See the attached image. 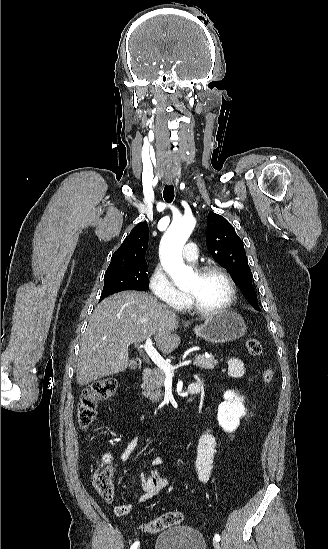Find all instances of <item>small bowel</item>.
I'll return each mask as SVG.
<instances>
[{"label": "small bowel", "instance_id": "obj_1", "mask_svg": "<svg viewBox=\"0 0 328 549\" xmlns=\"http://www.w3.org/2000/svg\"><path fill=\"white\" fill-rule=\"evenodd\" d=\"M227 368L230 376L240 378L245 373L243 362L238 358H229L227 360ZM138 442V437L134 436L128 443L127 447L120 453L119 458L126 461L134 452ZM216 446V439L212 429L204 431L197 440L194 446V451L197 454L196 458V473L200 482H207L210 478L213 468V457ZM114 461V456L110 453L103 454L101 462L111 466ZM164 463V458L161 456L154 457L150 461L151 469L148 473H141L140 483L142 494L138 498V502L144 503L159 494L170 486L168 480L163 478L156 467ZM133 509L131 503L122 505L116 509V514L124 515Z\"/></svg>", "mask_w": 328, "mask_h": 549}]
</instances>
